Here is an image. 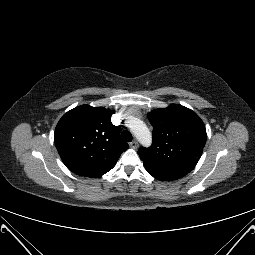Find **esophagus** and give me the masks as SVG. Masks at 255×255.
Returning a JSON list of instances; mask_svg holds the SVG:
<instances>
[{
  "mask_svg": "<svg viewBox=\"0 0 255 255\" xmlns=\"http://www.w3.org/2000/svg\"><path fill=\"white\" fill-rule=\"evenodd\" d=\"M129 146L133 149H137L138 142L136 140H133L132 142L129 143Z\"/></svg>",
  "mask_w": 255,
  "mask_h": 255,
  "instance_id": "34e87169",
  "label": "esophagus"
}]
</instances>
